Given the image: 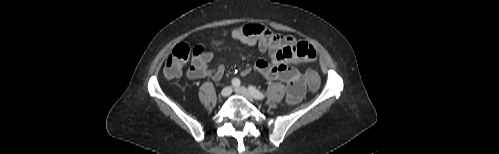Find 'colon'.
Masks as SVG:
<instances>
[{
    "label": "colon",
    "instance_id": "colon-1",
    "mask_svg": "<svg viewBox=\"0 0 499 154\" xmlns=\"http://www.w3.org/2000/svg\"><path fill=\"white\" fill-rule=\"evenodd\" d=\"M190 46L187 43H180L174 47L171 54L166 60L164 66V74L168 78L179 77L183 67L190 56ZM305 81L310 90L316 91L320 86V78L318 73L313 69H308L305 72Z\"/></svg>",
    "mask_w": 499,
    "mask_h": 154
}]
</instances>
